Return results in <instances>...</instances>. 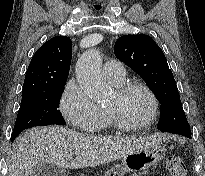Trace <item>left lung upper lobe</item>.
<instances>
[{"label":"left lung upper lobe","mask_w":205,"mask_h":176,"mask_svg":"<svg viewBox=\"0 0 205 176\" xmlns=\"http://www.w3.org/2000/svg\"><path fill=\"white\" fill-rule=\"evenodd\" d=\"M114 53L146 81L162 104L160 131L191 134L172 71L155 41L148 35H125L116 41Z\"/></svg>","instance_id":"left-lung-upper-lobe-1"}]
</instances>
